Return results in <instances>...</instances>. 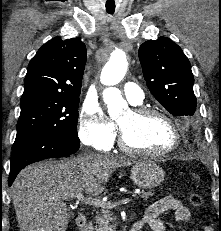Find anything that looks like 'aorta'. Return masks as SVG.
Returning a JSON list of instances; mask_svg holds the SVG:
<instances>
[{"label": "aorta", "mask_w": 221, "mask_h": 231, "mask_svg": "<svg viewBox=\"0 0 221 231\" xmlns=\"http://www.w3.org/2000/svg\"><path fill=\"white\" fill-rule=\"evenodd\" d=\"M126 71V54L124 51L117 49L111 54L100 76L101 83L108 86V88L103 91V99L107 104L110 116H115L123 108L127 107V103L122 98L120 90L114 87L123 79Z\"/></svg>", "instance_id": "1"}]
</instances>
